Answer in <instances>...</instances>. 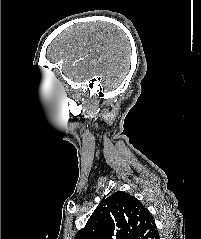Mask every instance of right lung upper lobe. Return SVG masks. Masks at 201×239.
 Listing matches in <instances>:
<instances>
[{
    "instance_id": "obj_1",
    "label": "right lung upper lobe",
    "mask_w": 201,
    "mask_h": 239,
    "mask_svg": "<svg viewBox=\"0 0 201 239\" xmlns=\"http://www.w3.org/2000/svg\"><path fill=\"white\" fill-rule=\"evenodd\" d=\"M150 212L130 194L117 191L95 209L74 239H156Z\"/></svg>"
}]
</instances>
